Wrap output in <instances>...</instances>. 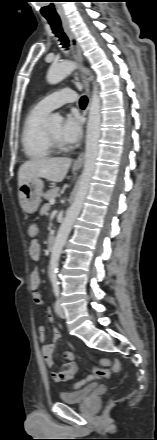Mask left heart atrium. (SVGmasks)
<instances>
[{
	"label": "left heart atrium",
	"mask_w": 157,
	"mask_h": 440,
	"mask_svg": "<svg viewBox=\"0 0 157 440\" xmlns=\"http://www.w3.org/2000/svg\"><path fill=\"white\" fill-rule=\"evenodd\" d=\"M82 136L81 120L77 116L68 115L62 124L60 137L65 143L77 142Z\"/></svg>",
	"instance_id": "39dd6f15"
}]
</instances>
